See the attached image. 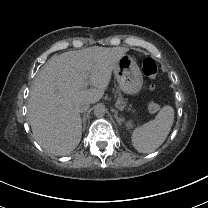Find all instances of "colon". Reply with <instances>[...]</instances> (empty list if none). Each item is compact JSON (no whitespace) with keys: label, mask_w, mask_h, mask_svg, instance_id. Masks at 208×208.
<instances>
[{"label":"colon","mask_w":208,"mask_h":208,"mask_svg":"<svg viewBox=\"0 0 208 208\" xmlns=\"http://www.w3.org/2000/svg\"><path fill=\"white\" fill-rule=\"evenodd\" d=\"M142 71L147 79L151 82L149 85V90H155V80L158 76V67L156 62L151 57H142ZM149 109L151 112H157L160 110V105L154 101H150Z\"/></svg>","instance_id":"5ec220e1"}]
</instances>
